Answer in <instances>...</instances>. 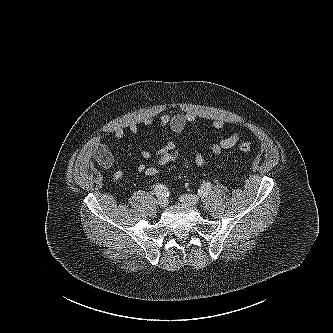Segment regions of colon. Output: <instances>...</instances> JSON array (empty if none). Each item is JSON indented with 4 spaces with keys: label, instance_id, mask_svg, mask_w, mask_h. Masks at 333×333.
<instances>
[{
    "label": "colon",
    "instance_id": "5ec220e1",
    "mask_svg": "<svg viewBox=\"0 0 333 333\" xmlns=\"http://www.w3.org/2000/svg\"><path fill=\"white\" fill-rule=\"evenodd\" d=\"M238 149L241 152L249 153L252 150V146L248 142H243L239 144ZM177 158L178 152L176 150L162 154L154 163L145 167L144 174L149 177H156L173 164Z\"/></svg>",
    "mask_w": 333,
    "mask_h": 333
}]
</instances>
